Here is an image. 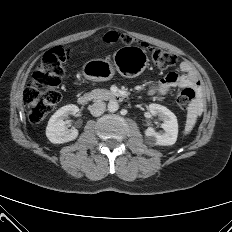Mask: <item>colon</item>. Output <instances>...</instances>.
<instances>
[{
  "instance_id": "colon-1",
  "label": "colon",
  "mask_w": 232,
  "mask_h": 232,
  "mask_svg": "<svg viewBox=\"0 0 232 232\" xmlns=\"http://www.w3.org/2000/svg\"><path fill=\"white\" fill-rule=\"evenodd\" d=\"M103 40L108 44H114L118 41L125 45L136 43L131 35L118 34L114 31L108 32ZM140 44L147 51L156 67L165 69L177 63V55L173 52L146 43ZM70 55V48L56 46L45 54L34 71L23 95L28 118L32 124L40 123L58 103V88L65 74V64ZM194 95L193 89H183L176 99L178 106L186 109L191 104Z\"/></svg>"
}]
</instances>
